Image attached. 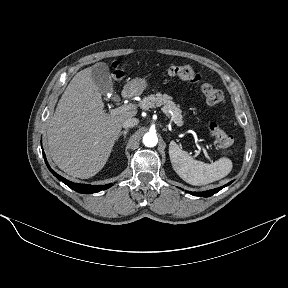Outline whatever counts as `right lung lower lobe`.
<instances>
[{"label":"right lung lower lobe","mask_w":288,"mask_h":288,"mask_svg":"<svg viewBox=\"0 0 288 288\" xmlns=\"http://www.w3.org/2000/svg\"><path fill=\"white\" fill-rule=\"evenodd\" d=\"M43 156L45 159V162L47 164V167L49 168V170L51 171V173H53V175L58 178L60 181H62L64 184H66L68 187H70L71 189L75 190L76 192L79 193H83V194H88V193H96L99 192L101 190H106L108 188H110L112 186V184H108V185H89V184H79V183H73L71 181H68L67 179L63 178L62 176L58 175L56 172H54L51 167L48 165L46 156L43 152Z\"/></svg>","instance_id":"obj_1"}]
</instances>
